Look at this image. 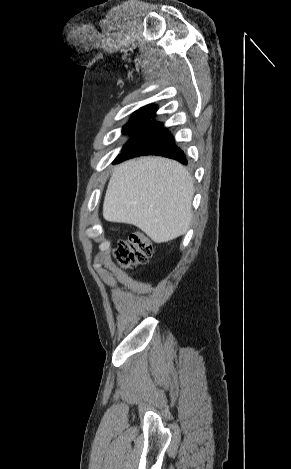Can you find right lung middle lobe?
I'll return each instance as SVG.
<instances>
[{
  "mask_svg": "<svg viewBox=\"0 0 291 469\" xmlns=\"http://www.w3.org/2000/svg\"><path fill=\"white\" fill-rule=\"evenodd\" d=\"M151 118H153V117L149 116V115L134 114L131 117L129 123L126 124L123 127L122 133L123 134H126V133L134 134V133H136L145 124H147L151 120Z\"/></svg>",
  "mask_w": 291,
  "mask_h": 469,
  "instance_id": "dd1d6c3e",
  "label": "right lung middle lobe"
}]
</instances>
